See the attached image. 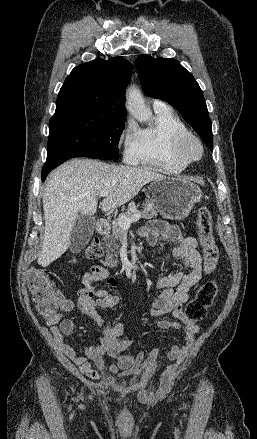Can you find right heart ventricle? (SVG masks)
<instances>
[{"mask_svg": "<svg viewBox=\"0 0 257 439\" xmlns=\"http://www.w3.org/2000/svg\"><path fill=\"white\" fill-rule=\"evenodd\" d=\"M188 132L186 124L169 108L155 111L153 123L139 131L138 155L133 163L167 174L183 172L188 164L174 154L173 142Z\"/></svg>", "mask_w": 257, "mask_h": 439, "instance_id": "obj_1", "label": "right heart ventricle"}]
</instances>
